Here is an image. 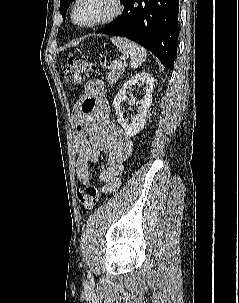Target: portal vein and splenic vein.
I'll list each match as a JSON object with an SVG mask.
<instances>
[{"mask_svg":"<svg viewBox=\"0 0 239 303\" xmlns=\"http://www.w3.org/2000/svg\"><path fill=\"white\" fill-rule=\"evenodd\" d=\"M121 64H122V62H115L114 65H113V67H118V66H120Z\"/></svg>","mask_w":239,"mask_h":303,"instance_id":"obj_1","label":"portal vein and splenic vein"}]
</instances>
